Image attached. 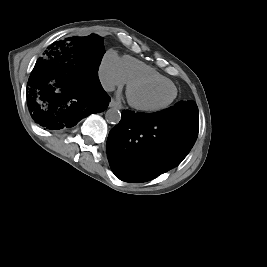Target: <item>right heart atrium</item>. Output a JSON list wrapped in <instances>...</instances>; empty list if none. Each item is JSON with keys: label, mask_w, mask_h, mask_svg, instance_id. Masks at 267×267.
I'll return each instance as SVG.
<instances>
[{"label": "right heart atrium", "mask_w": 267, "mask_h": 267, "mask_svg": "<svg viewBox=\"0 0 267 267\" xmlns=\"http://www.w3.org/2000/svg\"><path fill=\"white\" fill-rule=\"evenodd\" d=\"M98 75L102 86L107 91L122 87L126 83L121 60L114 51L106 52L100 63Z\"/></svg>", "instance_id": "d8ad5b80"}]
</instances>
